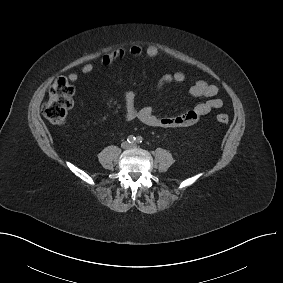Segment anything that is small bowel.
<instances>
[{"label":"small bowel","instance_id":"c3829d8e","mask_svg":"<svg viewBox=\"0 0 283 283\" xmlns=\"http://www.w3.org/2000/svg\"><path fill=\"white\" fill-rule=\"evenodd\" d=\"M147 55L150 58H161L162 52L154 45L143 48L140 45L134 44L125 49L122 47L116 48L111 52L105 53L101 57V62L104 65H110L118 60L125 58L127 55L138 57ZM94 70L92 64H85L81 68L83 74H90ZM78 74L72 72L68 74V80L75 82L78 80ZM186 79V74L183 71H175L163 75L158 82V89L172 83H182ZM189 93L193 97L205 98L206 100L198 103L188 111L176 116H158L150 106L137 108L135 105V93L132 90L124 91L125 101V116L129 121L138 119L146 125L158 128H177L191 126L199 121V119L210 113L212 110L219 109L223 105V101L217 97V86L210 84L204 80H198L191 84Z\"/></svg>","mask_w":283,"mask_h":283}]
</instances>
